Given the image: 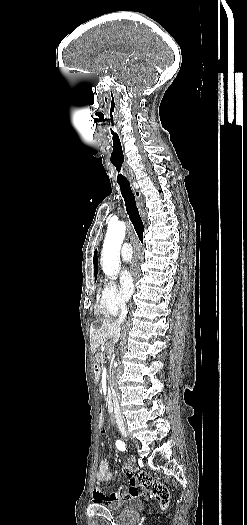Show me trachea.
I'll list each match as a JSON object with an SVG mask.
<instances>
[{
	"instance_id": "obj_1",
	"label": "trachea",
	"mask_w": 247,
	"mask_h": 525,
	"mask_svg": "<svg viewBox=\"0 0 247 525\" xmlns=\"http://www.w3.org/2000/svg\"><path fill=\"white\" fill-rule=\"evenodd\" d=\"M120 189H121V195L125 202V207L127 214L129 215V218L134 226V229L137 233V236L141 243H143V234H144V223L140 217V213L138 208L136 207V199L135 195L132 192L130 183L128 181L118 182Z\"/></svg>"
}]
</instances>
